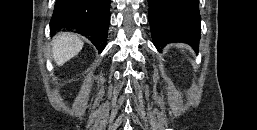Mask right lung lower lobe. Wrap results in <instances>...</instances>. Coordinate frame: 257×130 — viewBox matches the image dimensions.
<instances>
[{"label": "right lung lower lobe", "instance_id": "1", "mask_svg": "<svg viewBox=\"0 0 257 130\" xmlns=\"http://www.w3.org/2000/svg\"><path fill=\"white\" fill-rule=\"evenodd\" d=\"M110 22V0H57L50 21V32L74 29L102 52Z\"/></svg>", "mask_w": 257, "mask_h": 130}]
</instances>
